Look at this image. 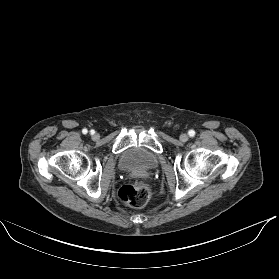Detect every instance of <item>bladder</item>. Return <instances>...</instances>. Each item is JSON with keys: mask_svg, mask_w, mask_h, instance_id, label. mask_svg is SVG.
Instances as JSON below:
<instances>
[{"mask_svg": "<svg viewBox=\"0 0 279 279\" xmlns=\"http://www.w3.org/2000/svg\"><path fill=\"white\" fill-rule=\"evenodd\" d=\"M118 164L124 172L143 175L157 167L158 159L152 151L141 146H133L121 153Z\"/></svg>", "mask_w": 279, "mask_h": 279, "instance_id": "1", "label": "bladder"}]
</instances>
